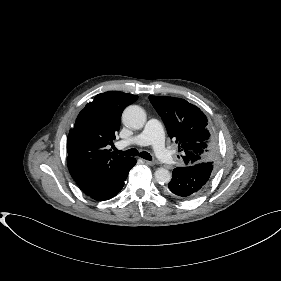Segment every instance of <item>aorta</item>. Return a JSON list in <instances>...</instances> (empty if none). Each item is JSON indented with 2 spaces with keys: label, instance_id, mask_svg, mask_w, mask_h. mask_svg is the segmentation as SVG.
Here are the masks:
<instances>
[{
  "label": "aorta",
  "instance_id": "1",
  "mask_svg": "<svg viewBox=\"0 0 281 281\" xmlns=\"http://www.w3.org/2000/svg\"><path fill=\"white\" fill-rule=\"evenodd\" d=\"M122 119L126 126L141 129L146 122V114L140 106L130 105L123 111ZM154 175L159 184L169 183L172 177L171 173L165 168H158Z\"/></svg>",
  "mask_w": 281,
  "mask_h": 281
}]
</instances>
